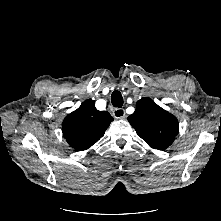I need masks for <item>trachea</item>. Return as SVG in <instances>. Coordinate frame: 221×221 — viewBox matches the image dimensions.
Returning a JSON list of instances; mask_svg holds the SVG:
<instances>
[{"instance_id":"trachea-1","label":"trachea","mask_w":221,"mask_h":221,"mask_svg":"<svg viewBox=\"0 0 221 221\" xmlns=\"http://www.w3.org/2000/svg\"><path fill=\"white\" fill-rule=\"evenodd\" d=\"M111 103L114 107L121 108L123 105V97L119 91H114L111 95Z\"/></svg>"}]
</instances>
